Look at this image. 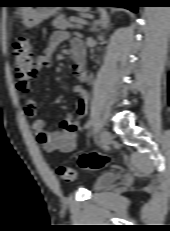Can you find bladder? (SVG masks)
I'll list each match as a JSON object with an SVG mask.
<instances>
[{
	"label": "bladder",
	"mask_w": 170,
	"mask_h": 231,
	"mask_svg": "<svg viewBox=\"0 0 170 231\" xmlns=\"http://www.w3.org/2000/svg\"><path fill=\"white\" fill-rule=\"evenodd\" d=\"M118 176L114 172H106L95 178L93 190L100 191L111 186L117 180Z\"/></svg>",
	"instance_id": "31cf9c89"
}]
</instances>
